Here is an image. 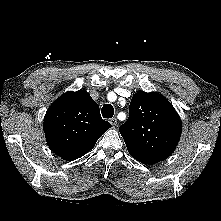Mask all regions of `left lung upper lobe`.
<instances>
[{"label": "left lung upper lobe", "mask_w": 221, "mask_h": 221, "mask_svg": "<svg viewBox=\"0 0 221 221\" xmlns=\"http://www.w3.org/2000/svg\"><path fill=\"white\" fill-rule=\"evenodd\" d=\"M182 123L171 103L159 93L137 92L120 133L133 158L154 164L168 158L181 135Z\"/></svg>", "instance_id": "obj_1"}]
</instances>
